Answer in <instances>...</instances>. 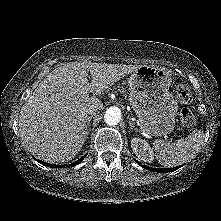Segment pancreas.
Instances as JSON below:
<instances>
[{
    "mask_svg": "<svg viewBox=\"0 0 221 221\" xmlns=\"http://www.w3.org/2000/svg\"><path fill=\"white\" fill-rule=\"evenodd\" d=\"M117 90H118L119 92H121V93H125V92H126V88L123 87V86H118V87H117Z\"/></svg>",
    "mask_w": 221,
    "mask_h": 221,
    "instance_id": "1",
    "label": "pancreas"
}]
</instances>
